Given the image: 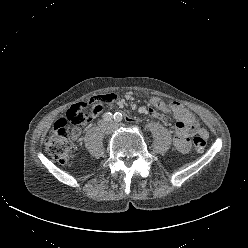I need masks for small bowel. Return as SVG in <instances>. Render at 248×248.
I'll list each match as a JSON object with an SVG mask.
<instances>
[{
    "instance_id": "c3829d8e",
    "label": "small bowel",
    "mask_w": 248,
    "mask_h": 248,
    "mask_svg": "<svg viewBox=\"0 0 248 248\" xmlns=\"http://www.w3.org/2000/svg\"><path fill=\"white\" fill-rule=\"evenodd\" d=\"M112 95L114 96V101L109 104L117 103L116 95ZM150 103L153 107H140L138 109L139 113L160 119L164 124L169 123L166 115L170 116L173 114L176 119V133L173 137V144L178 151L183 153L187 152L190 148L189 136L198 129L194 116L178 102H171L169 107H167L163 103L162 99L153 97L151 98ZM104 104L105 103L100 104L99 110L95 116H97L102 111ZM155 108L159 109L160 111H157Z\"/></svg>"
}]
</instances>
